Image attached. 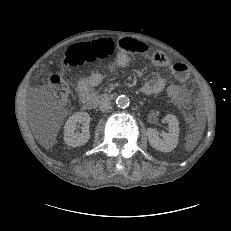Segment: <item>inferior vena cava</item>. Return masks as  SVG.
<instances>
[{
  "mask_svg": "<svg viewBox=\"0 0 231 231\" xmlns=\"http://www.w3.org/2000/svg\"><path fill=\"white\" fill-rule=\"evenodd\" d=\"M111 108V102L108 99H100L99 100V109L102 112H105Z\"/></svg>",
  "mask_w": 231,
  "mask_h": 231,
  "instance_id": "inferior-vena-cava-1",
  "label": "inferior vena cava"
}]
</instances>
